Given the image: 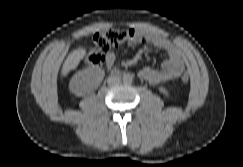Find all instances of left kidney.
<instances>
[{"label":"left kidney","instance_id":"obj_1","mask_svg":"<svg viewBox=\"0 0 243 167\" xmlns=\"http://www.w3.org/2000/svg\"><path fill=\"white\" fill-rule=\"evenodd\" d=\"M159 91H160L163 95H165V96H169V92H168V90H167L166 88H164V87H159Z\"/></svg>","mask_w":243,"mask_h":167}]
</instances>
